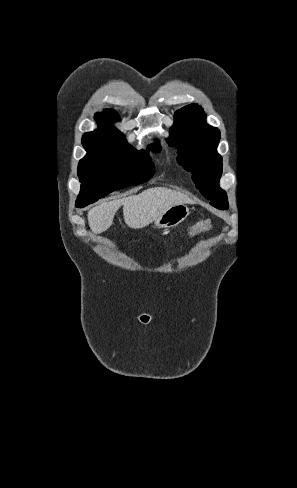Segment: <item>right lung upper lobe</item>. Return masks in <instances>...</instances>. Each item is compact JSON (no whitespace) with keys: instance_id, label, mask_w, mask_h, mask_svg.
<instances>
[{"instance_id":"1","label":"right lung upper lobe","mask_w":297,"mask_h":488,"mask_svg":"<svg viewBox=\"0 0 297 488\" xmlns=\"http://www.w3.org/2000/svg\"><path fill=\"white\" fill-rule=\"evenodd\" d=\"M96 120L100 128L93 132L85 133L82 137V144L86 149H95L106 139L125 138L120 131L111 125L112 122L119 120V116L115 111L105 110L103 113H97Z\"/></svg>"}]
</instances>
